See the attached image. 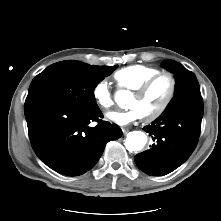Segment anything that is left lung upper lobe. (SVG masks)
Returning a JSON list of instances; mask_svg holds the SVG:
<instances>
[{
  "label": "left lung upper lobe",
  "instance_id": "5c2ea615",
  "mask_svg": "<svg viewBox=\"0 0 221 221\" xmlns=\"http://www.w3.org/2000/svg\"><path fill=\"white\" fill-rule=\"evenodd\" d=\"M163 66L176 73L175 97L168 104L164 112L178 105L185 104L189 98L200 97L199 84L196 76L176 61H164Z\"/></svg>",
  "mask_w": 221,
  "mask_h": 221
}]
</instances>
